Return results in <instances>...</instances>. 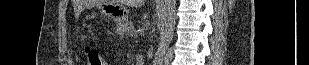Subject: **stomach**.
<instances>
[{
	"mask_svg": "<svg viewBox=\"0 0 309 65\" xmlns=\"http://www.w3.org/2000/svg\"><path fill=\"white\" fill-rule=\"evenodd\" d=\"M100 13L121 27L128 25L127 9L121 3L106 2L100 7Z\"/></svg>",
	"mask_w": 309,
	"mask_h": 65,
	"instance_id": "1",
	"label": "stomach"
}]
</instances>
